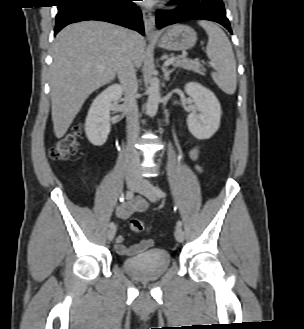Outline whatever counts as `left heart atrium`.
<instances>
[{
	"instance_id": "1",
	"label": "left heart atrium",
	"mask_w": 304,
	"mask_h": 329,
	"mask_svg": "<svg viewBox=\"0 0 304 329\" xmlns=\"http://www.w3.org/2000/svg\"><path fill=\"white\" fill-rule=\"evenodd\" d=\"M142 2L145 5H152L156 2V0H142Z\"/></svg>"
}]
</instances>
